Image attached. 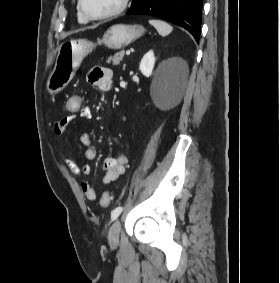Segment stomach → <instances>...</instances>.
I'll return each instance as SVG.
<instances>
[{
	"mask_svg": "<svg viewBox=\"0 0 280 283\" xmlns=\"http://www.w3.org/2000/svg\"><path fill=\"white\" fill-rule=\"evenodd\" d=\"M144 33L145 29L141 25L116 24L107 29L97 43L87 39L64 41L59 46L54 69L47 81L48 93L55 95L63 90L73 79L83 59L97 45H104L109 49L118 50L131 44Z\"/></svg>",
	"mask_w": 280,
	"mask_h": 283,
	"instance_id": "0dacf381",
	"label": "stomach"
}]
</instances>
